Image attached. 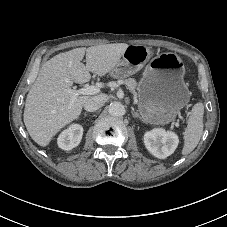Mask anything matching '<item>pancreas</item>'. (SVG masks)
<instances>
[{
    "label": "pancreas",
    "instance_id": "obj_1",
    "mask_svg": "<svg viewBox=\"0 0 227 227\" xmlns=\"http://www.w3.org/2000/svg\"><path fill=\"white\" fill-rule=\"evenodd\" d=\"M123 82L133 94H136L137 82L134 78L125 79Z\"/></svg>",
    "mask_w": 227,
    "mask_h": 227
}]
</instances>
